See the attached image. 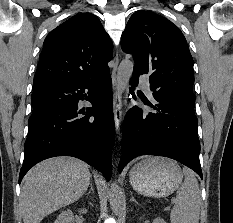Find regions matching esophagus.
Listing matches in <instances>:
<instances>
[{"label":"esophagus","mask_w":233,"mask_h":223,"mask_svg":"<svg viewBox=\"0 0 233 223\" xmlns=\"http://www.w3.org/2000/svg\"><path fill=\"white\" fill-rule=\"evenodd\" d=\"M119 65V54L117 52L115 57V64L112 71V85H113V110L115 116V127L117 133L120 131V125L123 118V102H122V91L117 79V69Z\"/></svg>","instance_id":"esophagus-1"}]
</instances>
